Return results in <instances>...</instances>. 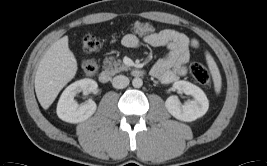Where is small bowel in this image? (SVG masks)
I'll use <instances>...</instances> for the list:
<instances>
[{"instance_id":"1","label":"small bowel","mask_w":267,"mask_h":166,"mask_svg":"<svg viewBox=\"0 0 267 166\" xmlns=\"http://www.w3.org/2000/svg\"><path fill=\"white\" fill-rule=\"evenodd\" d=\"M141 41L151 46L167 48V55L158 60L151 69L152 75L165 84L175 82L187 73L190 49L199 48L198 41L172 29L146 35L129 33L123 37L122 44L127 48H137Z\"/></svg>"}]
</instances>
